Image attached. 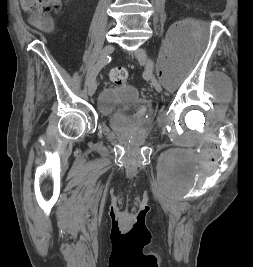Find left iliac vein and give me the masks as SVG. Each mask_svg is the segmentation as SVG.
Listing matches in <instances>:
<instances>
[{
  "instance_id": "1",
  "label": "left iliac vein",
  "mask_w": 253,
  "mask_h": 267,
  "mask_svg": "<svg viewBox=\"0 0 253 267\" xmlns=\"http://www.w3.org/2000/svg\"><path fill=\"white\" fill-rule=\"evenodd\" d=\"M135 56L137 57L139 63L144 64L148 73H149V77L151 79V82L153 84V86L155 87L157 92H161L162 91V87L161 85L158 83L157 79L155 78V76L152 74V69H153V63L152 61H150L147 57H146V52L139 48L137 49V51L135 52Z\"/></svg>"
}]
</instances>
